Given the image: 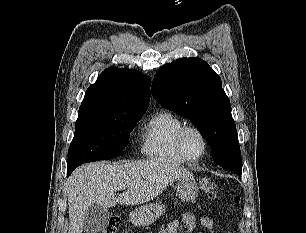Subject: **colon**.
Returning <instances> with one entry per match:
<instances>
[{
    "instance_id": "obj_1",
    "label": "colon",
    "mask_w": 306,
    "mask_h": 233,
    "mask_svg": "<svg viewBox=\"0 0 306 233\" xmlns=\"http://www.w3.org/2000/svg\"><path fill=\"white\" fill-rule=\"evenodd\" d=\"M201 189L210 198L216 196V182L211 177L203 178L200 182ZM235 202H238V197L234 198ZM119 226V218L116 216L111 217L107 224L98 233H117Z\"/></svg>"
}]
</instances>
